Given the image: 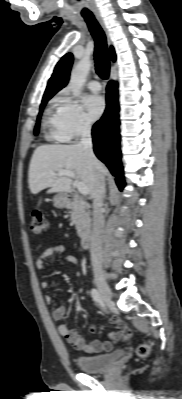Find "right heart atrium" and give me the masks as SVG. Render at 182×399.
Listing matches in <instances>:
<instances>
[{"instance_id": "1", "label": "right heart atrium", "mask_w": 182, "mask_h": 399, "mask_svg": "<svg viewBox=\"0 0 182 399\" xmlns=\"http://www.w3.org/2000/svg\"><path fill=\"white\" fill-rule=\"evenodd\" d=\"M58 119L65 140L80 137L91 129L80 103L67 94L58 98Z\"/></svg>"}]
</instances>
